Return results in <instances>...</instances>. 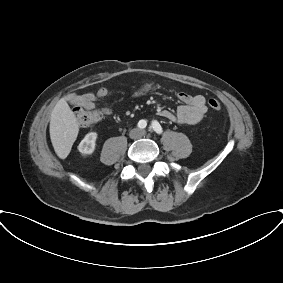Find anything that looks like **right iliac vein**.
I'll return each mask as SVG.
<instances>
[{"label": "right iliac vein", "instance_id": "right-iliac-vein-1", "mask_svg": "<svg viewBox=\"0 0 283 283\" xmlns=\"http://www.w3.org/2000/svg\"><path fill=\"white\" fill-rule=\"evenodd\" d=\"M139 136H140V135H139L138 130H132V131L130 132V138L133 139V140L138 139Z\"/></svg>", "mask_w": 283, "mask_h": 283}]
</instances>
